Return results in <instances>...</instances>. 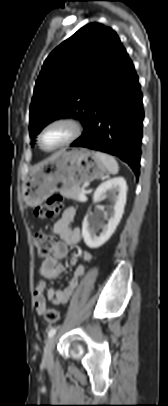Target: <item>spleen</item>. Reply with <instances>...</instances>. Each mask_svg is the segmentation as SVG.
Wrapping results in <instances>:
<instances>
[{
  "label": "spleen",
  "instance_id": "1",
  "mask_svg": "<svg viewBox=\"0 0 168 406\" xmlns=\"http://www.w3.org/2000/svg\"><path fill=\"white\" fill-rule=\"evenodd\" d=\"M97 157L104 163L106 168L111 174H117L119 171V166L117 161L112 157L111 155L102 153V152H96Z\"/></svg>",
  "mask_w": 168,
  "mask_h": 406
}]
</instances>
